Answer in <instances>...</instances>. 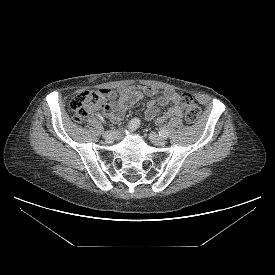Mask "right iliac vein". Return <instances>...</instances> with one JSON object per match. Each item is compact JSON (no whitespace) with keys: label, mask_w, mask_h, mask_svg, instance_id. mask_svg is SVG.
<instances>
[{"label":"right iliac vein","mask_w":275,"mask_h":275,"mask_svg":"<svg viewBox=\"0 0 275 275\" xmlns=\"http://www.w3.org/2000/svg\"><path fill=\"white\" fill-rule=\"evenodd\" d=\"M116 135H117V131H115V130H109V131L104 132L103 138L107 142H111V141L114 140V138L116 137Z\"/></svg>","instance_id":"right-iliac-vein-1"}]
</instances>
